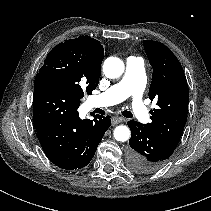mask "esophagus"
<instances>
[{
  "mask_svg": "<svg viewBox=\"0 0 211 211\" xmlns=\"http://www.w3.org/2000/svg\"><path fill=\"white\" fill-rule=\"evenodd\" d=\"M123 118L122 117H119V116H115L112 118V125H117L121 122H123Z\"/></svg>",
  "mask_w": 211,
  "mask_h": 211,
  "instance_id": "esophagus-1",
  "label": "esophagus"
}]
</instances>
